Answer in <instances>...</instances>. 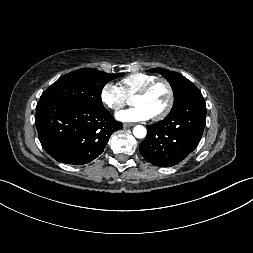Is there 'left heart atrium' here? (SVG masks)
<instances>
[{
	"mask_svg": "<svg viewBox=\"0 0 253 253\" xmlns=\"http://www.w3.org/2000/svg\"><path fill=\"white\" fill-rule=\"evenodd\" d=\"M116 117L123 122H138L148 120L152 118V115L143 105H134L131 108L119 111Z\"/></svg>",
	"mask_w": 253,
	"mask_h": 253,
	"instance_id": "39dd6f15",
	"label": "left heart atrium"
}]
</instances>
